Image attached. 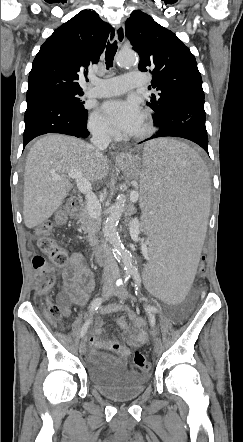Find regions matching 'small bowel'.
I'll use <instances>...</instances> for the list:
<instances>
[{"instance_id":"small-bowel-1","label":"small bowel","mask_w":243,"mask_h":442,"mask_svg":"<svg viewBox=\"0 0 243 442\" xmlns=\"http://www.w3.org/2000/svg\"><path fill=\"white\" fill-rule=\"evenodd\" d=\"M63 290L58 295L59 306L68 314L72 303L84 305L93 289V277L84 263L83 256L79 252H73L70 256L69 264L63 269ZM126 308L122 305L107 307L106 311ZM117 325L124 331L125 344L114 340H104V322L102 319L95 321V333L90 338L89 344L93 352L100 349L108 350L119 356V361L125 365V361L130 354V347H139L143 345L149 333L146 331V321L138 317L132 310L128 309L127 318L121 316L117 318ZM133 328H131L130 323Z\"/></svg>"}]
</instances>
